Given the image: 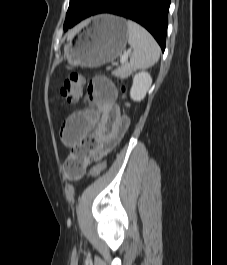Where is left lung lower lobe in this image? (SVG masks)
<instances>
[{
  "label": "left lung lower lobe",
  "mask_w": 227,
  "mask_h": 265,
  "mask_svg": "<svg viewBox=\"0 0 227 265\" xmlns=\"http://www.w3.org/2000/svg\"><path fill=\"white\" fill-rule=\"evenodd\" d=\"M170 0H106L92 15L110 13L145 27L165 50Z\"/></svg>",
  "instance_id": "1"
}]
</instances>
